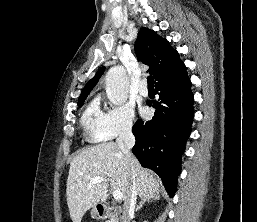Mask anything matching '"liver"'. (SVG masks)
Wrapping results in <instances>:
<instances>
[{
	"mask_svg": "<svg viewBox=\"0 0 257 222\" xmlns=\"http://www.w3.org/2000/svg\"><path fill=\"white\" fill-rule=\"evenodd\" d=\"M134 162L137 195L147 200L159 194L158 178L143 169L136 158ZM98 176L111 181L112 189L121 191L124 201L130 196L131 171L118 145L104 142L84 149L72 159L67 179V205L73 222H81L86 211L100 202L109 187L108 182L91 185L90 180Z\"/></svg>",
	"mask_w": 257,
	"mask_h": 222,
	"instance_id": "6515ba94",
	"label": "liver"
}]
</instances>
